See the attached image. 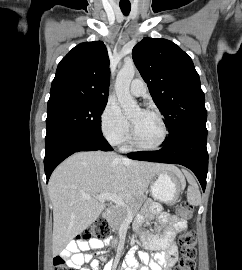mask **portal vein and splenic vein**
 <instances>
[{"instance_id": "portal-vein-and-splenic-vein-1", "label": "portal vein and splenic vein", "mask_w": 242, "mask_h": 270, "mask_svg": "<svg viewBox=\"0 0 242 270\" xmlns=\"http://www.w3.org/2000/svg\"><path fill=\"white\" fill-rule=\"evenodd\" d=\"M83 197L85 199H91L92 198V196H90V195H83ZM95 197L100 199V200H111L116 205L126 208L129 215L132 214L131 209L127 206L125 201L122 198H120L118 195H116L115 193H102V194H99V195H97Z\"/></svg>"}]
</instances>
